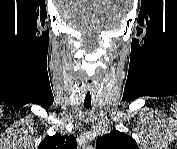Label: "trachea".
Returning a JSON list of instances; mask_svg holds the SVG:
<instances>
[{"label":"trachea","mask_w":177,"mask_h":149,"mask_svg":"<svg viewBox=\"0 0 177 149\" xmlns=\"http://www.w3.org/2000/svg\"><path fill=\"white\" fill-rule=\"evenodd\" d=\"M86 97H89V98L91 99V94H90V93L86 94ZM86 97H85V98H86ZM84 107L87 108V109H89V108L91 107V100H90V102H88V103H86V102L84 101Z\"/></svg>","instance_id":"trachea-1"}]
</instances>
